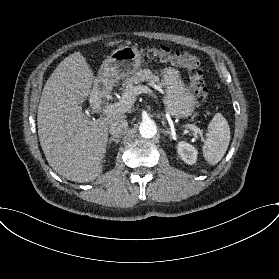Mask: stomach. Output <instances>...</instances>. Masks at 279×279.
I'll return each instance as SVG.
<instances>
[{
    "mask_svg": "<svg viewBox=\"0 0 279 279\" xmlns=\"http://www.w3.org/2000/svg\"><path fill=\"white\" fill-rule=\"evenodd\" d=\"M142 66H151L142 51L131 45L121 46L104 60L99 75L105 82L112 84L116 80L132 77ZM154 72L164 87L163 104L169 116L185 120L194 115L200 103L190 86L184 82L180 69L166 66L158 67Z\"/></svg>",
    "mask_w": 279,
    "mask_h": 279,
    "instance_id": "stomach-1",
    "label": "stomach"
}]
</instances>
